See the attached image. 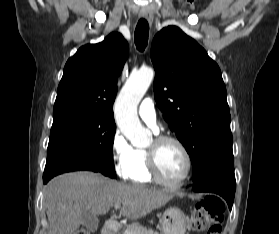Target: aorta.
<instances>
[{
  "label": "aorta",
  "instance_id": "obj_1",
  "mask_svg": "<svg viewBox=\"0 0 279 234\" xmlns=\"http://www.w3.org/2000/svg\"><path fill=\"white\" fill-rule=\"evenodd\" d=\"M153 78L154 70L151 68L131 73L115 104V118L119 129L137 147L148 145L150 140L151 133L141 125L137 106Z\"/></svg>",
  "mask_w": 279,
  "mask_h": 234
}]
</instances>
